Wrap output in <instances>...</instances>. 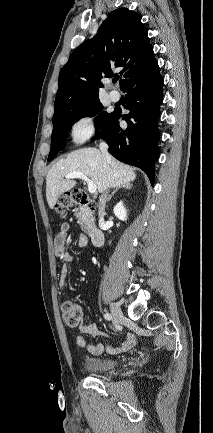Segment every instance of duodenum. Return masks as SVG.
<instances>
[{
  "instance_id": "410a0bca",
  "label": "duodenum",
  "mask_w": 213,
  "mask_h": 433,
  "mask_svg": "<svg viewBox=\"0 0 213 433\" xmlns=\"http://www.w3.org/2000/svg\"><path fill=\"white\" fill-rule=\"evenodd\" d=\"M81 205L90 211L93 210L87 204H81ZM90 238H91V242L94 246L100 247L104 243L103 231L95 225L92 226V228H91Z\"/></svg>"
}]
</instances>
